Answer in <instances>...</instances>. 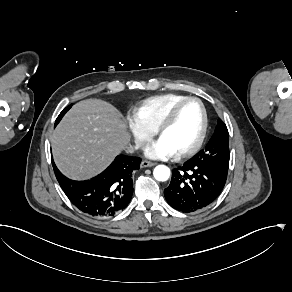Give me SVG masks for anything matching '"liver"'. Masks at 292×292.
<instances>
[{"label": "liver", "mask_w": 292, "mask_h": 292, "mask_svg": "<svg viewBox=\"0 0 292 292\" xmlns=\"http://www.w3.org/2000/svg\"><path fill=\"white\" fill-rule=\"evenodd\" d=\"M130 133L122 114L100 99L82 100L67 112L52 132L53 156L60 171L73 180L101 173L128 147Z\"/></svg>", "instance_id": "6515ba94"}]
</instances>
